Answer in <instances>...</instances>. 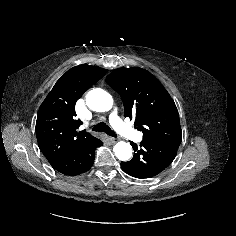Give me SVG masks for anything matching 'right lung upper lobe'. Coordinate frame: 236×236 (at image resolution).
Returning a JSON list of instances; mask_svg holds the SVG:
<instances>
[{"label": "right lung upper lobe", "mask_w": 236, "mask_h": 236, "mask_svg": "<svg viewBox=\"0 0 236 236\" xmlns=\"http://www.w3.org/2000/svg\"><path fill=\"white\" fill-rule=\"evenodd\" d=\"M107 71L87 64L75 66L59 78L41 104L36 137L48 161L72 153L96 139L85 130L77 131L82 122L75 118V104Z\"/></svg>", "instance_id": "obj_1"}]
</instances>
